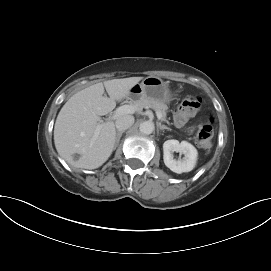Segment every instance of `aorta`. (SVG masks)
<instances>
[{"label": "aorta", "mask_w": 271, "mask_h": 271, "mask_svg": "<svg viewBox=\"0 0 271 271\" xmlns=\"http://www.w3.org/2000/svg\"><path fill=\"white\" fill-rule=\"evenodd\" d=\"M155 129L154 123L151 121L142 122L139 126V130L143 134H151Z\"/></svg>", "instance_id": "aorta-1"}]
</instances>
